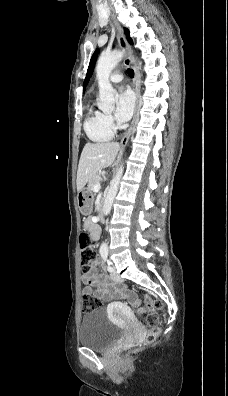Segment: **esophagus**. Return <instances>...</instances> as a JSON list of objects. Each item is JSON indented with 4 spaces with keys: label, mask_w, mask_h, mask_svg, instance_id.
I'll return each mask as SVG.
<instances>
[{
    "label": "esophagus",
    "mask_w": 228,
    "mask_h": 396,
    "mask_svg": "<svg viewBox=\"0 0 228 396\" xmlns=\"http://www.w3.org/2000/svg\"><path fill=\"white\" fill-rule=\"evenodd\" d=\"M112 19L114 21V24L116 26V30H117V39L119 42V45L121 46V48L124 50V52L126 53L125 59H124V63L127 66H131L134 70L135 73V78L133 81V88L136 94V104H135V109H134V115H133V119L131 122V125L129 127V129L127 130V132L125 133L124 137L121 140V145L125 146L130 138V135L132 133L133 130V126L135 124V121L137 119V114H138V107H139V98H140V73L139 70L135 64V61L132 57V50L130 45L128 44L124 32L120 26V24L118 23V21L115 19V17L112 15Z\"/></svg>",
    "instance_id": "esophagus-1"
}]
</instances>
